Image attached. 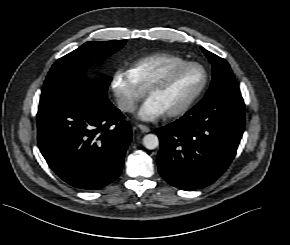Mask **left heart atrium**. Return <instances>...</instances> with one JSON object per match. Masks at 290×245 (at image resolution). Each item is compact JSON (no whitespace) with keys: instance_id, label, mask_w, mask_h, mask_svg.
Here are the masks:
<instances>
[{"instance_id":"1","label":"left heart atrium","mask_w":290,"mask_h":245,"mask_svg":"<svg viewBox=\"0 0 290 245\" xmlns=\"http://www.w3.org/2000/svg\"><path fill=\"white\" fill-rule=\"evenodd\" d=\"M164 108L151 96L139 107L137 116L144 121H155L165 114Z\"/></svg>"}]
</instances>
